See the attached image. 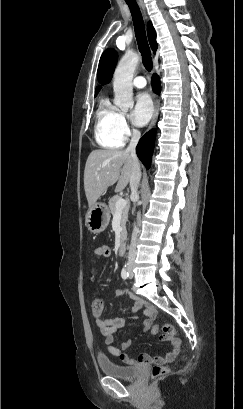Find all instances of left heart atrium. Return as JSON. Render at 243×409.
Instances as JSON below:
<instances>
[{"label":"left heart atrium","mask_w":243,"mask_h":409,"mask_svg":"<svg viewBox=\"0 0 243 409\" xmlns=\"http://www.w3.org/2000/svg\"><path fill=\"white\" fill-rule=\"evenodd\" d=\"M153 103L148 93H139L135 98V104L131 112L132 122L137 126L146 125L153 114Z\"/></svg>","instance_id":"left-heart-atrium-1"}]
</instances>
